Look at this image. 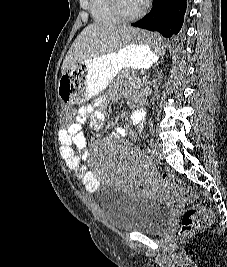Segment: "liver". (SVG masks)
Returning a JSON list of instances; mask_svg holds the SVG:
<instances>
[{
	"mask_svg": "<svg viewBox=\"0 0 227 267\" xmlns=\"http://www.w3.org/2000/svg\"><path fill=\"white\" fill-rule=\"evenodd\" d=\"M138 28L129 25L90 24L77 36L62 64V74L92 58L118 51L133 38L130 33H141Z\"/></svg>",
	"mask_w": 227,
	"mask_h": 267,
	"instance_id": "6515ba94",
	"label": "liver"
}]
</instances>
